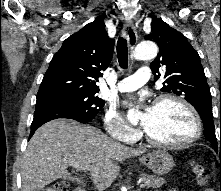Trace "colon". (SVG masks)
I'll list each match as a JSON object with an SVG mask.
<instances>
[{
	"instance_id": "5ec220e1",
	"label": "colon",
	"mask_w": 221,
	"mask_h": 191,
	"mask_svg": "<svg viewBox=\"0 0 221 191\" xmlns=\"http://www.w3.org/2000/svg\"><path fill=\"white\" fill-rule=\"evenodd\" d=\"M192 170L199 183H204L206 180V172L200 163L193 162L191 164ZM44 191H70V186L65 181H60L51 187L46 188ZM206 191H215L214 189H207Z\"/></svg>"
}]
</instances>
